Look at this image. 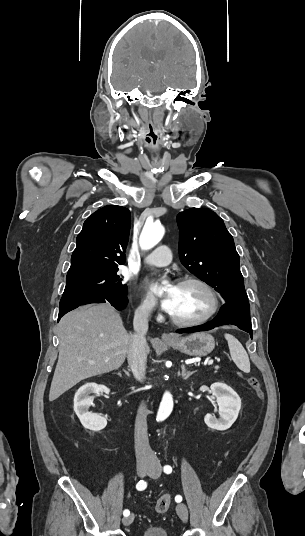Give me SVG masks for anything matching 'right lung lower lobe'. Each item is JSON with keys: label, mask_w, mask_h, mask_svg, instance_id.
Listing matches in <instances>:
<instances>
[{"label": "right lung lower lobe", "mask_w": 305, "mask_h": 536, "mask_svg": "<svg viewBox=\"0 0 305 536\" xmlns=\"http://www.w3.org/2000/svg\"><path fill=\"white\" fill-rule=\"evenodd\" d=\"M106 301L110 302L112 306L116 309L121 310L125 308L128 303L126 297H101L93 296L88 294H73L62 296L59 306V315L58 320L66 314L67 312L85 304L90 303H105Z\"/></svg>", "instance_id": "obj_1"}]
</instances>
